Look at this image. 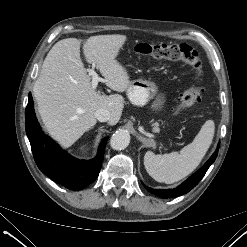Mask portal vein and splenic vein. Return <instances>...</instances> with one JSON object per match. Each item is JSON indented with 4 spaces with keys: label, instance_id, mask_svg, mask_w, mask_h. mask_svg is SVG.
<instances>
[{
    "label": "portal vein and splenic vein",
    "instance_id": "obj_1",
    "mask_svg": "<svg viewBox=\"0 0 247 247\" xmlns=\"http://www.w3.org/2000/svg\"><path fill=\"white\" fill-rule=\"evenodd\" d=\"M87 71L89 72V75L92 76V88L96 89L98 82H105L104 79L98 77L97 73L94 71V69H87Z\"/></svg>",
    "mask_w": 247,
    "mask_h": 247
}]
</instances>
